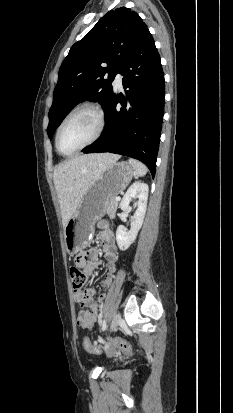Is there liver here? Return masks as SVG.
I'll return each mask as SVG.
<instances>
[{"instance_id":"liver-1","label":"liver","mask_w":233,"mask_h":413,"mask_svg":"<svg viewBox=\"0 0 233 413\" xmlns=\"http://www.w3.org/2000/svg\"><path fill=\"white\" fill-rule=\"evenodd\" d=\"M119 156L87 154L58 164L54 170V184L59 199L62 224L66 226L84 194L102 171L114 164Z\"/></svg>"}]
</instances>
